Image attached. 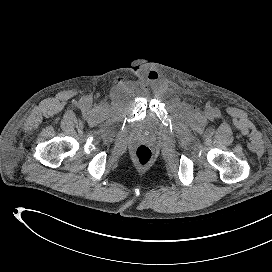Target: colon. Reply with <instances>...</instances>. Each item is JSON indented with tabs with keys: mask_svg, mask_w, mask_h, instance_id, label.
<instances>
[{
	"mask_svg": "<svg viewBox=\"0 0 272 272\" xmlns=\"http://www.w3.org/2000/svg\"><path fill=\"white\" fill-rule=\"evenodd\" d=\"M133 159L139 166H147L153 159V153L149 147L140 145L134 150Z\"/></svg>",
	"mask_w": 272,
	"mask_h": 272,
	"instance_id": "5ec220e1",
	"label": "colon"
}]
</instances>
